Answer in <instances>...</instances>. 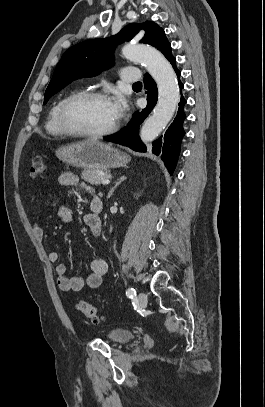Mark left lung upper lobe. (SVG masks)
Wrapping results in <instances>:
<instances>
[{"instance_id": "1", "label": "left lung upper lobe", "mask_w": 265, "mask_h": 407, "mask_svg": "<svg viewBox=\"0 0 265 407\" xmlns=\"http://www.w3.org/2000/svg\"><path fill=\"white\" fill-rule=\"evenodd\" d=\"M144 29L145 35L140 43L149 44L160 50L170 61L173 57L171 45L164 30L154 22L130 24L117 35L106 39H91L69 48L59 61L53 77L46 89L44 104L75 79L91 77L111 66L113 51L117 44L131 40L135 34Z\"/></svg>"}]
</instances>
